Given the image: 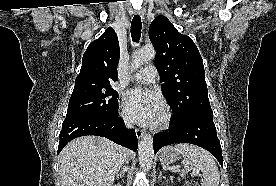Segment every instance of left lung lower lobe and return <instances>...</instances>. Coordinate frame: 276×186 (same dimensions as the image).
Here are the masks:
<instances>
[{"label":"left lung lower lobe","mask_w":276,"mask_h":186,"mask_svg":"<svg viewBox=\"0 0 276 186\" xmlns=\"http://www.w3.org/2000/svg\"><path fill=\"white\" fill-rule=\"evenodd\" d=\"M170 125L168 132L153 137L154 153L166 145L190 143L212 153L223 167L221 145L213 122V112L194 115L180 121L171 120Z\"/></svg>","instance_id":"left-lung-lower-lobe-1"}]
</instances>
